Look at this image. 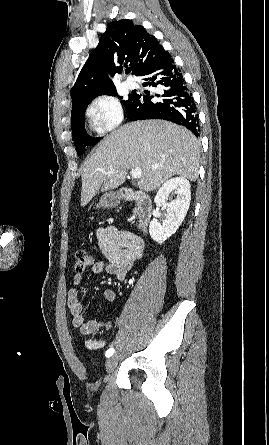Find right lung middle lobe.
Here are the masks:
<instances>
[{
  "label": "right lung middle lobe",
  "instance_id": "right-lung-middle-lobe-1",
  "mask_svg": "<svg viewBox=\"0 0 269 445\" xmlns=\"http://www.w3.org/2000/svg\"><path fill=\"white\" fill-rule=\"evenodd\" d=\"M101 95L117 96V92L115 90V91H111V92L104 93ZM94 98L95 97L72 107V112H71L72 135H73L74 144L77 149V153L79 155H82L85 152L86 146L95 145L100 140V137H97V138L90 137L87 134L85 127H84V123H83V117H84V112L86 110V107H87L88 103ZM120 98H122V97H120ZM134 98H135V94H129L128 99L123 100V104L125 106L127 114L129 113V110L132 106Z\"/></svg>",
  "mask_w": 269,
  "mask_h": 445
}]
</instances>
